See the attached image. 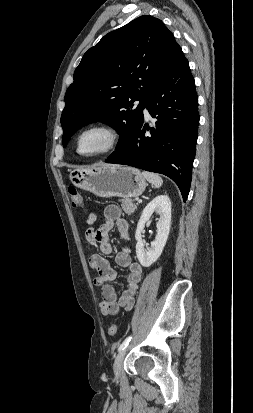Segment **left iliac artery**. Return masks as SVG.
Wrapping results in <instances>:
<instances>
[{
  "instance_id": "44dca946",
  "label": "left iliac artery",
  "mask_w": 253,
  "mask_h": 413,
  "mask_svg": "<svg viewBox=\"0 0 253 413\" xmlns=\"http://www.w3.org/2000/svg\"><path fill=\"white\" fill-rule=\"evenodd\" d=\"M131 338H132L131 336H128V337L122 342V344L120 345V347H119L118 350L120 351V350H123L124 348H126L127 345L129 344Z\"/></svg>"
}]
</instances>
